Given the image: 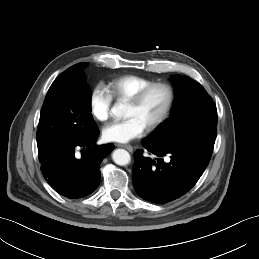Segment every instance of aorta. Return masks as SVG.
<instances>
[{"mask_svg":"<svg viewBox=\"0 0 259 259\" xmlns=\"http://www.w3.org/2000/svg\"><path fill=\"white\" fill-rule=\"evenodd\" d=\"M124 111H125L124 106L118 103L115 104L111 109L112 114L116 117H123ZM112 158L114 162L120 166H125L129 164L131 161L130 154L124 149L115 150L112 154Z\"/></svg>","mask_w":259,"mask_h":259,"instance_id":"762f6f07","label":"aorta"}]
</instances>
